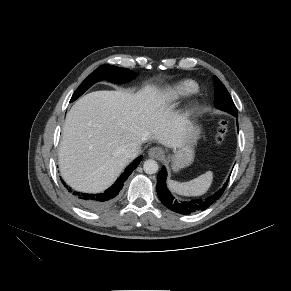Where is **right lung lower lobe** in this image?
Segmentation results:
<instances>
[{
    "instance_id": "1",
    "label": "right lung lower lobe",
    "mask_w": 291,
    "mask_h": 291,
    "mask_svg": "<svg viewBox=\"0 0 291 291\" xmlns=\"http://www.w3.org/2000/svg\"><path fill=\"white\" fill-rule=\"evenodd\" d=\"M142 156L138 157L133 161L117 179V181L105 192L98 194H86L82 192H77L68 185L64 183L67 190L72 194L73 198L83 207L89 210L98 211L109 207L118 198L122 188L123 183L127 180L132 171L140 163Z\"/></svg>"
}]
</instances>
